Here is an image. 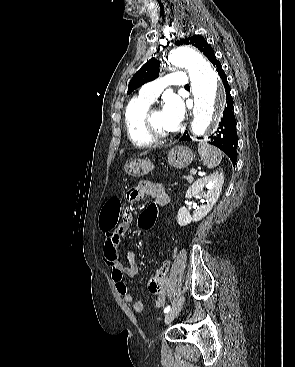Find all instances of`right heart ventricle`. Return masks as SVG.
Masks as SVG:
<instances>
[{
    "label": "right heart ventricle",
    "mask_w": 295,
    "mask_h": 367,
    "mask_svg": "<svg viewBox=\"0 0 295 367\" xmlns=\"http://www.w3.org/2000/svg\"><path fill=\"white\" fill-rule=\"evenodd\" d=\"M151 102L140 98H132L124 112V123L129 139L138 147H149L154 140L146 133L144 116Z\"/></svg>",
    "instance_id": "obj_1"
}]
</instances>
